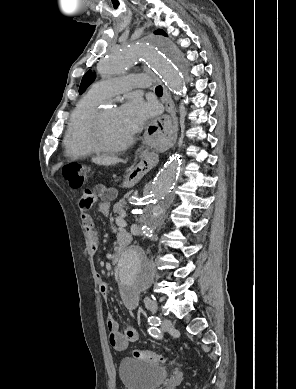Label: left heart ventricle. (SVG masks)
I'll list each match as a JSON object with an SVG mask.
<instances>
[{
  "label": "left heart ventricle",
  "instance_id": "obj_1",
  "mask_svg": "<svg viewBox=\"0 0 296 389\" xmlns=\"http://www.w3.org/2000/svg\"><path fill=\"white\" fill-rule=\"evenodd\" d=\"M103 134L109 145H119L131 137L123 128L117 109L104 110Z\"/></svg>",
  "mask_w": 296,
  "mask_h": 389
}]
</instances>
